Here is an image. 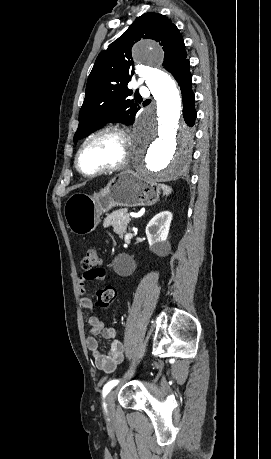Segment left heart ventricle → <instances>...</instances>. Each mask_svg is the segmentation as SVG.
<instances>
[{
	"label": "left heart ventricle",
	"mask_w": 271,
	"mask_h": 459,
	"mask_svg": "<svg viewBox=\"0 0 271 459\" xmlns=\"http://www.w3.org/2000/svg\"><path fill=\"white\" fill-rule=\"evenodd\" d=\"M122 153L121 140L113 133H103L86 143L79 157V165L85 172H92L116 162Z\"/></svg>",
	"instance_id": "1"
}]
</instances>
